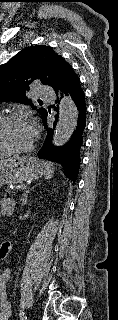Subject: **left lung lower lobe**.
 I'll return each instance as SVG.
<instances>
[{
	"label": "left lung lower lobe",
	"mask_w": 118,
	"mask_h": 320,
	"mask_svg": "<svg viewBox=\"0 0 118 320\" xmlns=\"http://www.w3.org/2000/svg\"><path fill=\"white\" fill-rule=\"evenodd\" d=\"M55 92L56 95L60 94L61 98L64 94L71 97L78 111L77 125L67 143L61 147H56L52 144V138L58 117L55 116L53 127L48 126V113H46V115L42 117V121L47 135L42 148L38 152V157L61 164L65 176L75 182L79 171L80 150L83 145L86 127V103L85 95L80 85V79L74 70ZM55 110H57V108H55Z\"/></svg>",
	"instance_id": "0a47b994"
}]
</instances>
